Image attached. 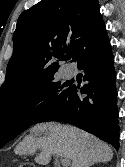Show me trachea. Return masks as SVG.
<instances>
[{"label":"trachea","instance_id":"trachea-1","mask_svg":"<svg viewBox=\"0 0 125 167\" xmlns=\"http://www.w3.org/2000/svg\"><path fill=\"white\" fill-rule=\"evenodd\" d=\"M71 58V55L69 54V55H66V57H65V59L66 60H69Z\"/></svg>","mask_w":125,"mask_h":167}]
</instances>
